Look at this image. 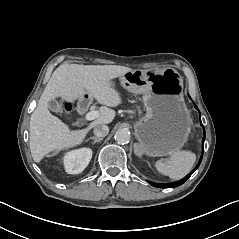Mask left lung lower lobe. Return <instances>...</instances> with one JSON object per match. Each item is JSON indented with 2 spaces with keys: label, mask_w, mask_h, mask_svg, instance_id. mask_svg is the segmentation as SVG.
<instances>
[{
  "label": "left lung lower lobe",
  "mask_w": 239,
  "mask_h": 239,
  "mask_svg": "<svg viewBox=\"0 0 239 239\" xmlns=\"http://www.w3.org/2000/svg\"><path fill=\"white\" fill-rule=\"evenodd\" d=\"M195 108L198 110V107L194 104ZM199 111V110H198ZM200 113V112H199ZM200 123H201V126L203 127V130H204V136H203V141H202V144H203V149H204V140H205V129H204V126L202 125V122L200 120ZM201 160H202V157L197 165V167L188 175L186 176L184 179L180 180V181H177V182H174V183H168V184H157V183H152V182H149L152 186H155L157 188H172V187H176V186H180L182 185L190 176L191 174L199 167L200 163H201Z\"/></svg>",
  "instance_id": "0a47b994"
}]
</instances>
